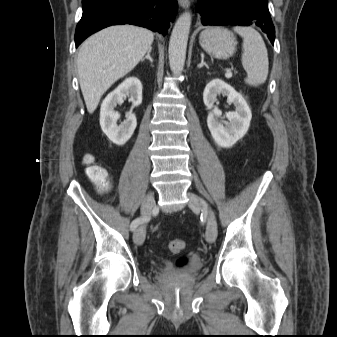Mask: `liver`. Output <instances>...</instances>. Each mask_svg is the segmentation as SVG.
<instances>
[{
    "label": "liver",
    "instance_id": "6515ba94",
    "mask_svg": "<svg viewBox=\"0 0 337 337\" xmlns=\"http://www.w3.org/2000/svg\"><path fill=\"white\" fill-rule=\"evenodd\" d=\"M153 40L148 29L117 25L103 29L82 44L77 58L78 77L89 113L95 111L109 87L139 63Z\"/></svg>",
    "mask_w": 337,
    "mask_h": 337
}]
</instances>
